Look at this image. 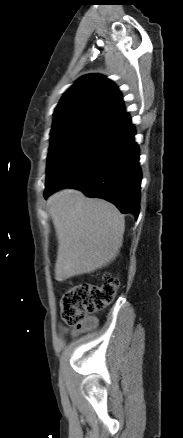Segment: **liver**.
<instances>
[{
  "label": "liver",
  "mask_w": 183,
  "mask_h": 438,
  "mask_svg": "<svg viewBox=\"0 0 183 438\" xmlns=\"http://www.w3.org/2000/svg\"><path fill=\"white\" fill-rule=\"evenodd\" d=\"M48 206L58 239L57 281L94 272L115 260L125 220L113 204L65 189L53 194Z\"/></svg>",
  "instance_id": "1"
}]
</instances>
